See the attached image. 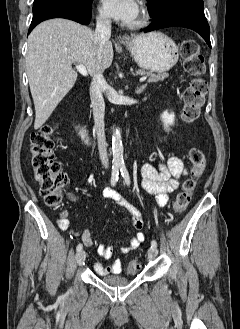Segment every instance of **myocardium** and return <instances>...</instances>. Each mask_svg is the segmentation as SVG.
Returning a JSON list of instances; mask_svg holds the SVG:
<instances>
[{
    "instance_id": "f54148a6",
    "label": "myocardium",
    "mask_w": 240,
    "mask_h": 329,
    "mask_svg": "<svg viewBox=\"0 0 240 329\" xmlns=\"http://www.w3.org/2000/svg\"><path fill=\"white\" fill-rule=\"evenodd\" d=\"M148 22V14L144 6H141L139 17L136 21L130 22L127 26L132 29L141 28Z\"/></svg>"
}]
</instances>
